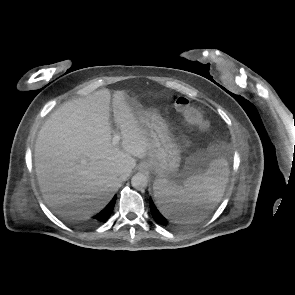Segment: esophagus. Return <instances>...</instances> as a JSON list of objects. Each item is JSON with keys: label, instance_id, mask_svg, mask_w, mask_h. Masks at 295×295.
I'll use <instances>...</instances> for the list:
<instances>
[{"label": "esophagus", "instance_id": "1", "mask_svg": "<svg viewBox=\"0 0 295 295\" xmlns=\"http://www.w3.org/2000/svg\"><path fill=\"white\" fill-rule=\"evenodd\" d=\"M147 167L145 165L142 166V169H146Z\"/></svg>", "mask_w": 295, "mask_h": 295}]
</instances>
